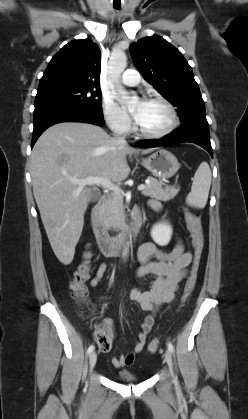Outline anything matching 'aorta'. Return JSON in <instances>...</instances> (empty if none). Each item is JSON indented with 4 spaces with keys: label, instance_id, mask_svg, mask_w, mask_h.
<instances>
[{
    "label": "aorta",
    "instance_id": "obj_1",
    "mask_svg": "<svg viewBox=\"0 0 248 419\" xmlns=\"http://www.w3.org/2000/svg\"><path fill=\"white\" fill-rule=\"evenodd\" d=\"M127 66V57L123 52L113 53L108 63L109 76L115 83L116 91L128 100L129 106L135 105L138 102V97L133 96L131 99L127 97V92L120 84V77Z\"/></svg>",
    "mask_w": 248,
    "mask_h": 419
}]
</instances>
